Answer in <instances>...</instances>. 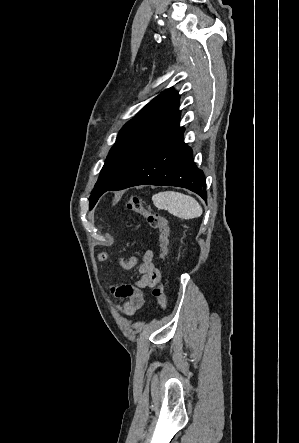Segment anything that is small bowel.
<instances>
[{"label":"small bowel","instance_id":"c3829d8e","mask_svg":"<svg viewBox=\"0 0 299 443\" xmlns=\"http://www.w3.org/2000/svg\"><path fill=\"white\" fill-rule=\"evenodd\" d=\"M106 254H100L99 259L105 260ZM154 253L146 250L128 259L117 258L118 266L123 270H131L138 266L140 278L133 284H120L111 288L112 294L122 300L116 304V309L124 316L131 317L144 304V289L154 285L160 279V272L153 263Z\"/></svg>","mask_w":299,"mask_h":443}]
</instances>
